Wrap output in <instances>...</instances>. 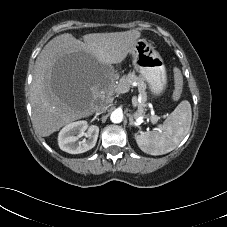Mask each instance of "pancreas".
Masks as SVG:
<instances>
[{
	"mask_svg": "<svg viewBox=\"0 0 227 227\" xmlns=\"http://www.w3.org/2000/svg\"><path fill=\"white\" fill-rule=\"evenodd\" d=\"M133 83L137 84L139 93L141 95V102L138 103V105H137V107H138L137 115L139 116V115H143V113L146 110V106H147V92H146L147 86H146L144 78L141 76L135 75L134 72L129 73L128 75H124L119 79V84L115 87L114 91L116 93H118L116 90L118 86L130 88ZM150 120L153 124H155L159 120V117L151 116Z\"/></svg>",
	"mask_w": 227,
	"mask_h": 227,
	"instance_id": "obj_1",
	"label": "pancreas"
}]
</instances>
